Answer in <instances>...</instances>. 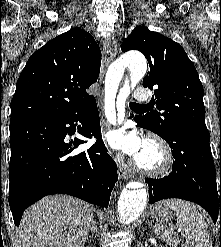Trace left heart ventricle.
<instances>
[{
  "label": "left heart ventricle",
  "mask_w": 221,
  "mask_h": 247,
  "mask_svg": "<svg viewBox=\"0 0 221 247\" xmlns=\"http://www.w3.org/2000/svg\"><path fill=\"white\" fill-rule=\"evenodd\" d=\"M137 159L146 166H156L160 161L158 152L147 144H144L142 150L137 156Z\"/></svg>",
  "instance_id": "1"
}]
</instances>
